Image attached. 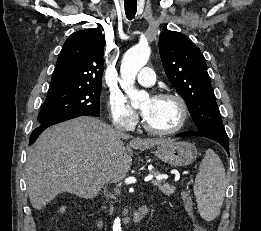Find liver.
I'll return each mask as SVG.
<instances>
[{
	"mask_svg": "<svg viewBox=\"0 0 261 231\" xmlns=\"http://www.w3.org/2000/svg\"><path fill=\"white\" fill-rule=\"evenodd\" d=\"M130 138L92 117L75 118L45 130L30 148L25 167L33 208L43 209L62 192L93 198L105 183L124 179L132 158L123 140ZM169 141L133 138L129 147L143 151Z\"/></svg>",
	"mask_w": 261,
	"mask_h": 231,
	"instance_id": "liver-1",
	"label": "liver"
}]
</instances>
